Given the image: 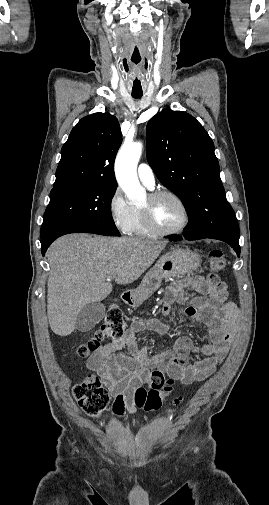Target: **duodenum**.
<instances>
[{
	"label": "duodenum",
	"mask_w": 269,
	"mask_h": 505,
	"mask_svg": "<svg viewBox=\"0 0 269 505\" xmlns=\"http://www.w3.org/2000/svg\"><path fill=\"white\" fill-rule=\"evenodd\" d=\"M122 301L127 305H134L136 302V297L132 292H125L121 295Z\"/></svg>",
	"instance_id": "obj_1"
}]
</instances>
